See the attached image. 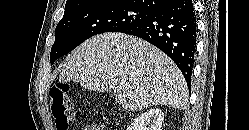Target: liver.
<instances>
[{
  "mask_svg": "<svg viewBox=\"0 0 249 130\" xmlns=\"http://www.w3.org/2000/svg\"><path fill=\"white\" fill-rule=\"evenodd\" d=\"M79 82L85 89L115 90L125 110L166 105L184 110L189 92L176 64L150 43L123 33L96 35L66 59L59 82Z\"/></svg>",
  "mask_w": 249,
  "mask_h": 130,
  "instance_id": "6515ba94",
  "label": "liver"
}]
</instances>
